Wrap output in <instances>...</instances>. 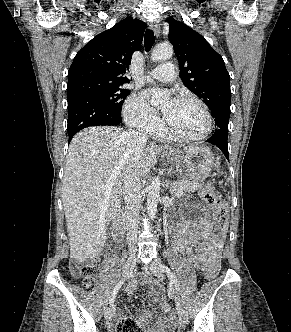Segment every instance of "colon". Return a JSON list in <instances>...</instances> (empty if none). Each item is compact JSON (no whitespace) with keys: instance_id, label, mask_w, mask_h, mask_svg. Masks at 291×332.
<instances>
[{"instance_id":"colon-1","label":"colon","mask_w":291,"mask_h":332,"mask_svg":"<svg viewBox=\"0 0 291 332\" xmlns=\"http://www.w3.org/2000/svg\"><path fill=\"white\" fill-rule=\"evenodd\" d=\"M202 195L205 201L215 211L219 227L225 229L228 225V210L220 196L217 194L214 184L211 182L206 183L203 187ZM72 268L74 274L82 278L84 286L90 287L93 284L96 274L94 263H87L84 265L74 263ZM219 270V259L211 261L206 266V273L209 278L215 277ZM116 332H143V326L138 320L127 317L118 322Z\"/></svg>"}]
</instances>
